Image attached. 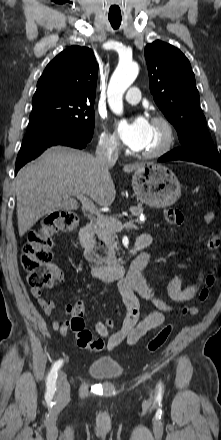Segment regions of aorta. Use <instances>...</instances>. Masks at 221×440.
Returning a JSON list of instances; mask_svg holds the SVG:
<instances>
[{"label":"aorta","mask_w":221,"mask_h":440,"mask_svg":"<svg viewBox=\"0 0 221 440\" xmlns=\"http://www.w3.org/2000/svg\"><path fill=\"white\" fill-rule=\"evenodd\" d=\"M139 73L136 63H119L109 81L107 97L111 110L118 115L123 113V94L135 81Z\"/></svg>","instance_id":"aorta-1"}]
</instances>
